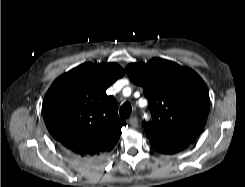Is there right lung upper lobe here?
I'll use <instances>...</instances> for the list:
<instances>
[{
    "label": "right lung upper lobe",
    "mask_w": 245,
    "mask_h": 187,
    "mask_svg": "<svg viewBox=\"0 0 245 187\" xmlns=\"http://www.w3.org/2000/svg\"><path fill=\"white\" fill-rule=\"evenodd\" d=\"M114 63H84L58 77L43 101V117L59 145L82 158L110 152L121 135L124 120L107 88L123 77Z\"/></svg>",
    "instance_id": "right-lung-upper-lobe-1"
}]
</instances>
